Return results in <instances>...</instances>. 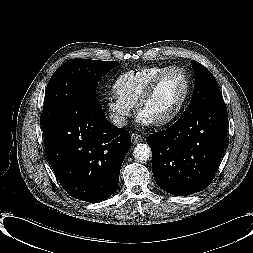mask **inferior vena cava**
Instances as JSON below:
<instances>
[{
	"mask_svg": "<svg viewBox=\"0 0 253 253\" xmlns=\"http://www.w3.org/2000/svg\"><path fill=\"white\" fill-rule=\"evenodd\" d=\"M111 123H113L117 127H123L127 125V119L124 116L118 114H112L110 116Z\"/></svg>",
	"mask_w": 253,
	"mask_h": 253,
	"instance_id": "inferior-vena-cava-1",
	"label": "inferior vena cava"
}]
</instances>
